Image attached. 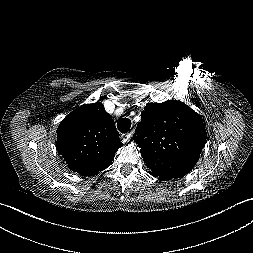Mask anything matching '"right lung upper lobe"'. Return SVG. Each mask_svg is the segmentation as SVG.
Returning <instances> with one entry per match:
<instances>
[{
  "label": "right lung upper lobe",
  "instance_id": "1",
  "mask_svg": "<svg viewBox=\"0 0 253 253\" xmlns=\"http://www.w3.org/2000/svg\"><path fill=\"white\" fill-rule=\"evenodd\" d=\"M122 145L114 121L101 102L75 109L57 129L59 154L70 170L82 176H94L109 167Z\"/></svg>",
  "mask_w": 253,
  "mask_h": 253
}]
</instances>
